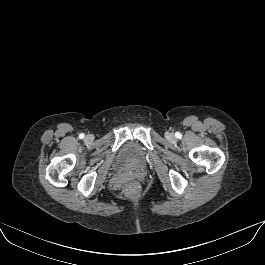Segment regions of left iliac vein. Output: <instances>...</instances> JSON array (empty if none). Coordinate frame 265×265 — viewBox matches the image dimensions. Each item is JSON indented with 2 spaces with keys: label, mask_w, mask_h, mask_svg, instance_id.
Here are the masks:
<instances>
[{
  "label": "left iliac vein",
  "mask_w": 265,
  "mask_h": 265,
  "mask_svg": "<svg viewBox=\"0 0 265 265\" xmlns=\"http://www.w3.org/2000/svg\"><path fill=\"white\" fill-rule=\"evenodd\" d=\"M168 139L172 140L174 138V135L172 133L167 134Z\"/></svg>",
  "instance_id": "4c4485c4"
}]
</instances>
